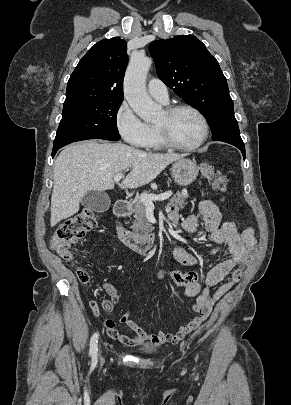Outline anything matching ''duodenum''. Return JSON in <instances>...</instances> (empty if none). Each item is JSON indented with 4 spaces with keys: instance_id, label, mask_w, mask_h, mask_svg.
Here are the masks:
<instances>
[{
    "instance_id": "duodenum-1",
    "label": "duodenum",
    "mask_w": 291,
    "mask_h": 405,
    "mask_svg": "<svg viewBox=\"0 0 291 405\" xmlns=\"http://www.w3.org/2000/svg\"><path fill=\"white\" fill-rule=\"evenodd\" d=\"M130 212L131 204L128 201H117L114 208L117 234L120 240L132 250L138 253H146L154 246L155 237L153 234L138 235L131 232L124 223Z\"/></svg>"
}]
</instances>
